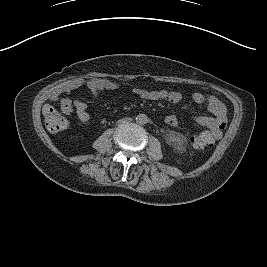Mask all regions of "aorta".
Segmentation results:
<instances>
[{"instance_id":"aorta-1","label":"aorta","mask_w":267,"mask_h":267,"mask_svg":"<svg viewBox=\"0 0 267 267\" xmlns=\"http://www.w3.org/2000/svg\"><path fill=\"white\" fill-rule=\"evenodd\" d=\"M147 121H148V117H147L145 114H139V115H137V117H136V122H137L138 124L143 125V124H146Z\"/></svg>"}]
</instances>
